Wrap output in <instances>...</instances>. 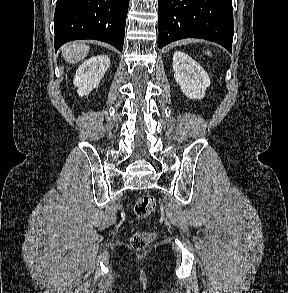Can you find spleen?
I'll return each mask as SVG.
<instances>
[{
	"label": "spleen",
	"instance_id": "3e777b00",
	"mask_svg": "<svg viewBox=\"0 0 288 293\" xmlns=\"http://www.w3.org/2000/svg\"><path fill=\"white\" fill-rule=\"evenodd\" d=\"M207 54H208V55H211L209 51H207Z\"/></svg>",
	"mask_w": 288,
	"mask_h": 293
}]
</instances>
